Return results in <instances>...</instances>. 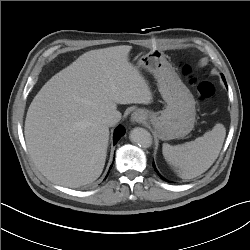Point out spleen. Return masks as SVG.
Masks as SVG:
<instances>
[{"mask_svg":"<svg viewBox=\"0 0 250 250\" xmlns=\"http://www.w3.org/2000/svg\"><path fill=\"white\" fill-rule=\"evenodd\" d=\"M226 136L223 124H216L202 137L182 145L163 144L165 160L182 179H192L207 171L217 159Z\"/></svg>","mask_w":250,"mask_h":250,"instance_id":"3e777b00","label":"spleen"}]
</instances>
